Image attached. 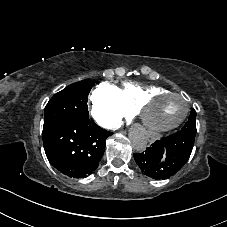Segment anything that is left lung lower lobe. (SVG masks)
<instances>
[{
  "label": "left lung lower lobe",
  "mask_w": 227,
  "mask_h": 227,
  "mask_svg": "<svg viewBox=\"0 0 227 227\" xmlns=\"http://www.w3.org/2000/svg\"><path fill=\"white\" fill-rule=\"evenodd\" d=\"M195 135L176 132L155 141L143 153H135L139 168L156 180L168 179L175 175L188 161Z\"/></svg>",
  "instance_id": "obj_1"
}]
</instances>
